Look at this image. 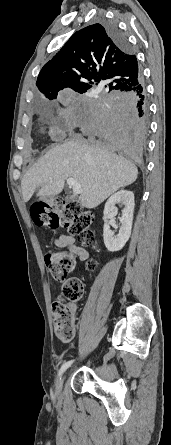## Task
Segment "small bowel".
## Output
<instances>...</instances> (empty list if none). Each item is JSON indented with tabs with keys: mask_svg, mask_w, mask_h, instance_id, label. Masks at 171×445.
Masks as SVG:
<instances>
[{
	"mask_svg": "<svg viewBox=\"0 0 171 445\" xmlns=\"http://www.w3.org/2000/svg\"><path fill=\"white\" fill-rule=\"evenodd\" d=\"M54 244L58 248L68 249L71 253L75 254L82 262H86L89 258L88 252L84 248L78 246L74 237H72L71 235H60L55 237Z\"/></svg>",
	"mask_w": 171,
	"mask_h": 445,
	"instance_id": "small-bowel-1",
	"label": "small bowel"
}]
</instances>
